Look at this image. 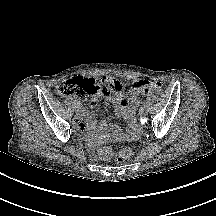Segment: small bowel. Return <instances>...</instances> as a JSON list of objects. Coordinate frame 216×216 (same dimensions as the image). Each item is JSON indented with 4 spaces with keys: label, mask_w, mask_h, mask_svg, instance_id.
Segmentation results:
<instances>
[{
    "label": "small bowel",
    "mask_w": 216,
    "mask_h": 216,
    "mask_svg": "<svg viewBox=\"0 0 216 216\" xmlns=\"http://www.w3.org/2000/svg\"><path fill=\"white\" fill-rule=\"evenodd\" d=\"M102 82L105 86L104 95L114 105L115 115L122 118L126 126L123 130L117 124H109L106 121L97 123L88 112L86 123H83L80 117H75L76 130L85 133L89 144L93 147L135 137L139 131L136 109L139 106L140 93L134 87L126 88L122 82L111 76L103 78Z\"/></svg>",
    "instance_id": "small-bowel-1"
}]
</instances>
